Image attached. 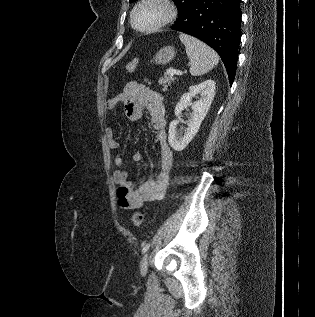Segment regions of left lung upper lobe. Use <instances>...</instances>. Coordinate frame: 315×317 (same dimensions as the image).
Segmentation results:
<instances>
[{
    "instance_id": "5c2ea615",
    "label": "left lung upper lobe",
    "mask_w": 315,
    "mask_h": 317,
    "mask_svg": "<svg viewBox=\"0 0 315 317\" xmlns=\"http://www.w3.org/2000/svg\"><path fill=\"white\" fill-rule=\"evenodd\" d=\"M134 1H136V0H130V3L134 2ZM173 1L177 5L178 10H179L178 19H177V20H179L183 17L187 8L191 4V2H193L194 0H173Z\"/></svg>"
}]
</instances>
